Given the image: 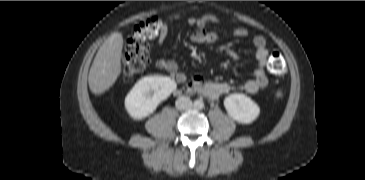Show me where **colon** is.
Masks as SVG:
<instances>
[{
    "label": "colon",
    "mask_w": 365,
    "mask_h": 180,
    "mask_svg": "<svg viewBox=\"0 0 365 180\" xmlns=\"http://www.w3.org/2000/svg\"><path fill=\"white\" fill-rule=\"evenodd\" d=\"M163 27L161 18L150 17L138 24L128 37L121 59V69L125 75H135L144 70L149 62L148 41L157 37ZM268 69L274 75H282L286 66L282 54L271 53Z\"/></svg>",
    "instance_id": "5ec220e1"
}]
</instances>
